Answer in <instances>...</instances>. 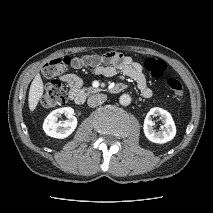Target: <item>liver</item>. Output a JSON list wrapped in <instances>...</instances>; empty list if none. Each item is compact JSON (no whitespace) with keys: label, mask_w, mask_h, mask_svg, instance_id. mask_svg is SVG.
Listing matches in <instances>:
<instances>
[{"label":"liver","mask_w":213,"mask_h":213,"mask_svg":"<svg viewBox=\"0 0 213 213\" xmlns=\"http://www.w3.org/2000/svg\"><path fill=\"white\" fill-rule=\"evenodd\" d=\"M43 91V81L41 79L40 74L38 73L33 79L29 90L28 104L31 112H33L37 107V104L43 95Z\"/></svg>","instance_id":"liver-1"}]
</instances>
